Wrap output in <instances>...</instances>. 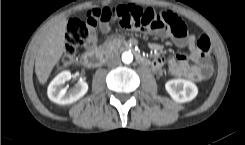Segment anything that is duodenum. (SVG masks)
<instances>
[{"mask_svg":"<svg viewBox=\"0 0 245 145\" xmlns=\"http://www.w3.org/2000/svg\"><path fill=\"white\" fill-rule=\"evenodd\" d=\"M115 48H117V49L122 48L124 51H130L134 54L136 60L140 64H142V65L147 64V61L140 54L133 52L132 45L120 46V45L116 44ZM101 58H102V56H101L100 52L89 51L88 53H86V55L83 59V63L88 67H96L100 64Z\"/></svg>","mask_w":245,"mask_h":145,"instance_id":"obj_1","label":"duodenum"}]
</instances>
